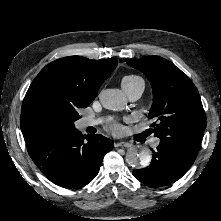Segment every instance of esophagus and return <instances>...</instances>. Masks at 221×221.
<instances>
[{
	"label": "esophagus",
	"mask_w": 221,
	"mask_h": 221,
	"mask_svg": "<svg viewBox=\"0 0 221 221\" xmlns=\"http://www.w3.org/2000/svg\"><path fill=\"white\" fill-rule=\"evenodd\" d=\"M131 144L128 142H117L115 143V147H130Z\"/></svg>",
	"instance_id": "obj_1"
}]
</instances>
